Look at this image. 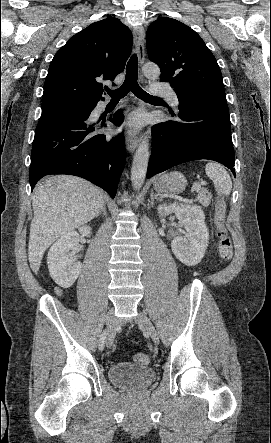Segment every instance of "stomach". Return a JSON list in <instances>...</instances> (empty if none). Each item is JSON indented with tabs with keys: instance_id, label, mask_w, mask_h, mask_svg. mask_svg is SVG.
Returning <instances> with one entry per match:
<instances>
[{
	"instance_id": "stomach-1",
	"label": "stomach",
	"mask_w": 271,
	"mask_h": 443,
	"mask_svg": "<svg viewBox=\"0 0 271 443\" xmlns=\"http://www.w3.org/2000/svg\"><path fill=\"white\" fill-rule=\"evenodd\" d=\"M186 186L187 180L181 172H170V174H165L154 182V190L158 194H168V192L179 194V192L185 190Z\"/></svg>"
}]
</instances>
